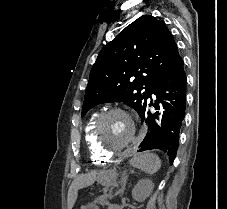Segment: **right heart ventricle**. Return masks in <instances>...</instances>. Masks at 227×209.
Wrapping results in <instances>:
<instances>
[{"mask_svg": "<svg viewBox=\"0 0 227 209\" xmlns=\"http://www.w3.org/2000/svg\"><path fill=\"white\" fill-rule=\"evenodd\" d=\"M98 117V114L92 115L89 120L87 121L85 127H84V140L87 145L90 158L93 163L95 164H102V163H108L112 157L105 156L101 154L98 149L96 148L94 142H93V127L96 121V118Z\"/></svg>", "mask_w": 227, "mask_h": 209, "instance_id": "obj_1", "label": "right heart ventricle"}]
</instances>
